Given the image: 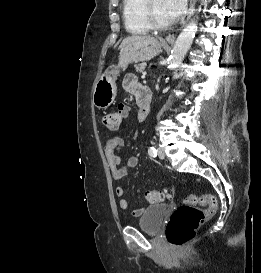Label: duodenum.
Segmentation results:
<instances>
[{"instance_id":"obj_1","label":"duodenum","mask_w":261,"mask_h":273,"mask_svg":"<svg viewBox=\"0 0 261 273\" xmlns=\"http://www.w3.org/2000/svg\"><path fill=\"white\" fill-rule=\"evenodd\" d=\"M151 93L147 89H143L142 95L138 98L139 112L138 121L142 122L146 119L151 108Z\"/></svg>"}]
</instances>
